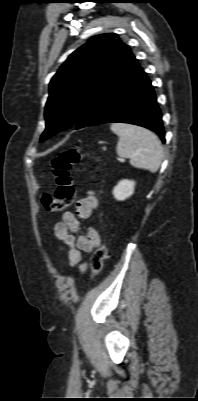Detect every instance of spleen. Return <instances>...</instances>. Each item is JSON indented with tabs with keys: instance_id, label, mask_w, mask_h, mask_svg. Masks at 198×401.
<instances>
[{
	"instance_id": "obj_1",
	"label": "spleen",
	"mask_w": 198,
	"mask_h": 401,
	"mask_svg": "<svg viewBox=\"0 0 198 401\" xmlns=\"http://www.w3.org/2000/svg\"><path fill=\"white\" fill-rule=\"evenodd\" d=\"M111 131L118 136L117 154L130 159V164L155 173L164 152L158 137L151 131L124 123H113Z\"/></svg>"
}]
</instances>
